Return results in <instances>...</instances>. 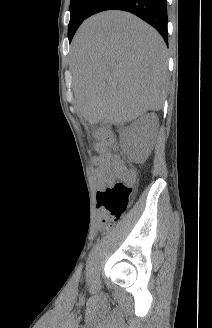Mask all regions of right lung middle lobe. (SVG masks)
Returning a JSON list of instances; mask_svg holds the SVG:
<instances>
[{"label":"right lung middle lobe","mask_w":212,"mask_h":328,"mask_svg":"<svg viewBox=\"0 0 212 328\" xmlns=\"http://www.w3.org/2000/svg\"><path fill=\"white\" fill-rule=\"evenodd\" d=\"M95 0H71V18L68 27L69 41L72 40L77 28L87 18V14Z\"/></svg>","instance_id":"obj_1"}]
</instances>
